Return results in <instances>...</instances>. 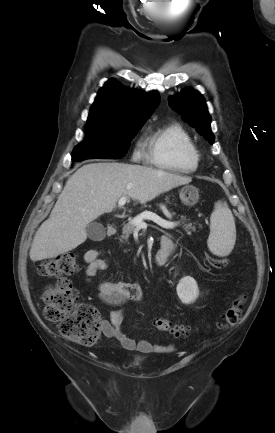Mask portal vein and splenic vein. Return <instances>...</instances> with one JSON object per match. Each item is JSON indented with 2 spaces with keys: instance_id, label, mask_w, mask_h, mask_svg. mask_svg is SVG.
Instances as JSON below:
<instances>
[{
  "instance_id": "portal-vein-and-splenic-vein-1",
  "label": "portal vein and splenic vein",
  "mask_w": 275,
  "mask_h": 433,
  "mask_svg": "<svg viewBox=\"0 0 275 433\" xmlns=\"http://www.w3.org/2000/svg\"><path fill=\"white\" fill-rule=\"evenodd\" d=\"M126 201H127V197H122L119 199L118 205L123 206L126 203ZM144 220H151L154 223H156L157 225H159L160 227H163L166 229L174 228L177 225L176 223L164 220L161 217H159L158 215L151 213V212L142 213L139 217L132 220V223L137 227H141L145 224Z\"/></svg>"
}]
</instances>
